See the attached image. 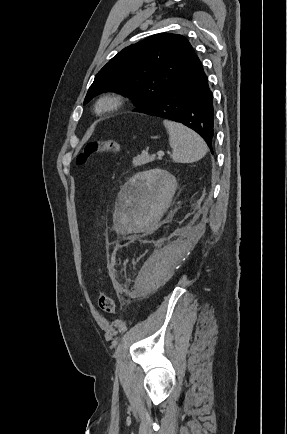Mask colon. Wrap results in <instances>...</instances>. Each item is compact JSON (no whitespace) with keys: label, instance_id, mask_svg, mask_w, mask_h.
<instances>
[{"label":"colon","instance_id":"obj_1","mask_svg":"<svg viewBox=\"0 0 287 434\" xmlns=\"http://www.w3.org/2000/svg\"><path fill=\"white\" fill-rule=\"evenodd\" d=\"M121 146L119 142L115 140L95 141L87 144L83 152L77 157L78 164H84L90 157L100 153H117ZM99 309L107 314L111 315L115 312V301L113 297L107 293H104L98 298Z\"/></svg>","mask_w":287,"mask_h":434}]
</instances>
